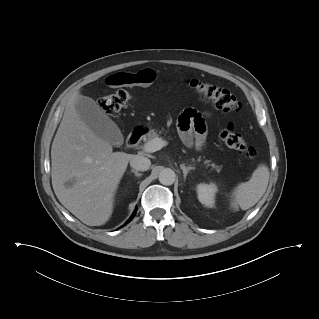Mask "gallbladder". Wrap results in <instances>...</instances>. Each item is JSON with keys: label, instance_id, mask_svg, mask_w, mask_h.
I'll return each instance as SVG.
<instances>
[{"label": "gallbladder", "instance_id": "bac80fb5", "mask_svg": "<svg viewBox=\"0 0 319 319\" xmlns=\"http://www.w3.org/2000/svg\"><path fill=\"white\" fill-rule=\"evenodd\" d=\"M75 108L81 120L94 134L114 146L123 144L124 138L118 126L103 112L90 97L80 96Z\"/></svg>", "mask_w": 319, "mask_h": 319}]
</instances>
